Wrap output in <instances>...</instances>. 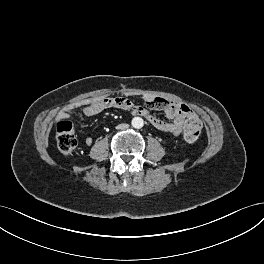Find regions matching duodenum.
<instances>
[{
	"label": "duodenum",
	"mask_w": 264,
	"mask_h": 264,
	"mask_svg": "<svg viewBox=\"0 0 264 264\" xmlns=\"http://www.w3.org/2000/svg\"><path fill=\"white\" fill-rule=\"evenodd\" d=\"M136 115H140V116H143V114H142V113H138V114H136Z\"/></svg>",
	"instance_id": "duodenum-1"
}]
</instances>
